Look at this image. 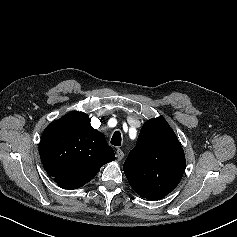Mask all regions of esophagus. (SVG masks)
Returning a JSON list of instances; mask_svg holds the SVG:
<instances>
[{
	"mask_svg": "<svg viewBox=\"0 0 237 237\" xmlns=\"http://www.w3.org/2000/svg\"><path fill=\"white\" fill-rule=\"evenodd\" d=\"M116 157L118 161H121L124 158V152L121 149H117Z\"/></svg>",
	"mask_w": 237,
	"mask_h": 237,
	"instance_id": "1",
	"label": "esophagus"
}]
</instances>
